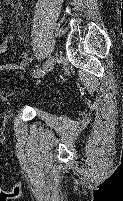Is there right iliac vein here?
I'll return each mask as SVG.
<instances>
[{"mask_svg":"<svg viewBox=\"0 0 123 201\" xmlns=\"http://www.w3.org/2000/svg\"><path fill=\"white\" fill-rule=\"evenodd\" d=\"M55 62V58L54 56H50L47 61L45 62V65L43 67V76L46 75L47 73H49L54 65Z\"/></svg>","mask_w":123,"mask_h":201,"instance_id":"right-iliac-vein-1","label":"right iliac vein"}]
</instances>
